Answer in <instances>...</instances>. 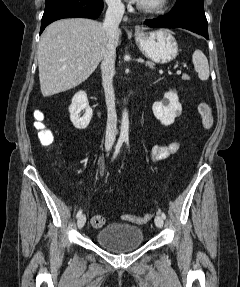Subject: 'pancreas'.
Wrapping results in <instances>:
<instances>
[{"mask_svg":"<svg viewBox=\"0 0 240 287\" xmlns=\"http://www.w3.org/2000/svg\"><path fill=\"white\" fill-rule=\"evenodd\" d=\"M146 66H149L150 68H154V63H153V62L148 61V62H146ZM182 79H184V80H188V79H189V76H188V75H186V74H183V75H182Z\"/></svg>","mask_w":240,"mask_h":287,"instance_id":"obj_1","label":"pancreas"}]
</instances>
